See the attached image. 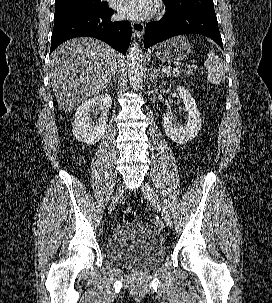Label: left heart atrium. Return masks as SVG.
Wrapping results in <instances>:
<instances>
[{"mask_svg": "<svg viewBox=\"0 0 272 303\" xmlns=\"http://www.w3.org/2000/svg\"><path fill=\"white\" fill-rule=\"evenodd\" d=\"M155 0H117L116 10L121 17L128 19H146L155 11Z\"/></svg>", "mask_w": 272, "mask_h": 303, "instance_id": "39dd6f15", "label": "left heart atrium"}]
</instances>
